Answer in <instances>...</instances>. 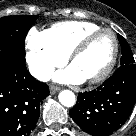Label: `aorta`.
Segmentation results:
<instances>
[{
    "label": "aorta",
    "instance_id": "obj_1",
    "mask_svg": "<svg viewBox=\"0 0 136 136\" xmlns=\"http://www.w3.org/2000/svg\"><path fill=\"white\" fill-rule=\"evenodd\" d=\"M58 97L60 103L65 107H72L76 102L75 95L70 90L61 91Z\"/></svg>",
    "mask_w": 136,
    "mask_h": 136
}]
</instances>
